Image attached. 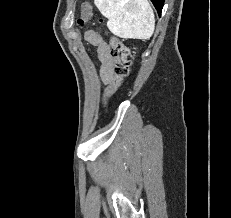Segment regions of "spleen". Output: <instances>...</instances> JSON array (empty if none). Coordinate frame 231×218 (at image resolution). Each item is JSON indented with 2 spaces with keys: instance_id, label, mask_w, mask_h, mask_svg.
Instances as JSON below:
<instances>
[{
  "instance_id": "3e777b00",
  "label": "spleen",
  "mask_w": 231,
  "mask_h": 218,
  "mask_svg": "<svg viewBox=\"0 0 231 218\" xmlns=\"http://www.w3.org/2000/svg\"><path fill=\"white\" fill-rule=\"evenodd\" d=\"M107 27L125 39H149L155 29L154 12L148 0H94Z\"/></svg>"
}]
</instances>
